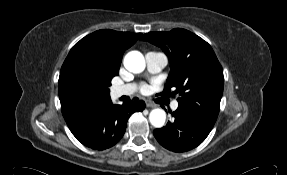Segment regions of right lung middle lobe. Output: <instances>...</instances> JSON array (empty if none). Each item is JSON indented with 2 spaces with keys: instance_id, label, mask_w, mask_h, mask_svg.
Returning <instances> with one entry per match:
<instances>
[{
  "instance_id": "obj_1",
  "label": "right lung middle lobe",
  "mask_w": 287,
  "mask_h": 175,
  "mask_svg": "<svg viewBox=\"0 0 287 175\" xmlns=\"http://www.w3.org/2000/svg\"><path fill=\"white\" fill-rule=\"evenodd\" d=\"M111 81L98 75L86 57L76 60L62 88V110L82 114L100 101L110 98Z\"/></svg>"
}]
</instances>
